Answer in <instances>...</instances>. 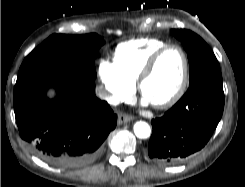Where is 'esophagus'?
Segmentation results:
<instances>
[{
  "label": "esophagus",
  "mask_w": 245,
  "mask_h": 187,
  "mask_svg": "<svg viewBox=\"0 0 245 187\" xmlns=\"http://www.w3.org/2000/svg\"><path fill=\"white\" fill-rule=\"evenodd\" d=\"M133 118L130 115L124 114V113H120L118 115V124H125L128 123L132 120Z\"/></svg>",
  "instance_id": "obj_1"
}]
</instances>
